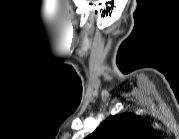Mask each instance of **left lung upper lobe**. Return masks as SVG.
Segmentation results:
<instances>
[{
    "label": "left lung upper lobe",
    "mask_w": 179,
    "mask_h": 139,
    "mask_svg": "<svg viewBox=\"0 0 179 139\" xmlns=\"http://www.w3.org/2000/svg\"><path fill=\"white\" fill-rule=\"evenodd\" d=\"M150 124L133 113L110 116L88 139H143L152 131Z\"/></svg>",
    "instance_id": "1"
}]
</instances>
